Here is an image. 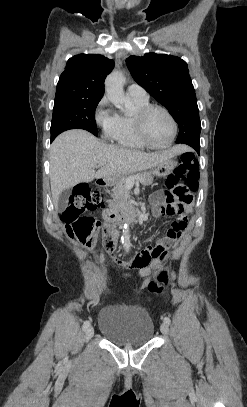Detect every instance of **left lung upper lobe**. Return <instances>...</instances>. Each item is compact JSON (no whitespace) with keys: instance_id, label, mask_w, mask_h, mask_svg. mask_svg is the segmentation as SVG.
Masks as SVG:
<instances>
[{"instance_id":"5c2ea615","label":"left lung upper lobe","mask_w":247,"mask_h":407,"mask_svg":"<svg viewBox=\"0 0 247 407\" xmlns=\"http://www.w3.org/2000/svg\"><path fill=\"white\" fill-rule=\"evenodd\" d=\"M134 80L165 106L179 126L176 143L200 138L201 123L187 64L181 58L149 53L126 60Z\"/></svg>"}]
</instances>
